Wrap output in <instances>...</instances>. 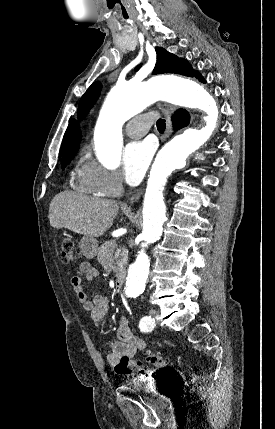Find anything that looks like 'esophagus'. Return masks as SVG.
<instances>
[{
  "label": "esophagus",
  "instance_id": "1",
  "mask_svg": "<svg viewBox=\"0 0 275 429\" xmlns=\"http://www.w3.org/2000/svg\"><path fill=\"white\" fill-rule=\"evenodd\" d=\"M161 109L167 118V128H166V132H165L164 137H163V140H165L172 133L171 115L174 113L176 108L174 106L163 103V104H161ZM142 194H143V189L138 190L134 195H132L130 197L129 203L133 204V203L137 202Z\"/></svg>",
  "mask_w": 275,
  "mask_h": 429
}]
</instances>
